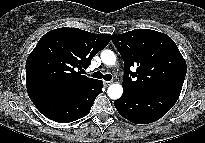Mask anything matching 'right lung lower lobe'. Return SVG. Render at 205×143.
Here are the masks:
<instances>
[{"label": "right lung lower lobe", "mask_w": 205, "mask_h": 143, "mask_svg": "<svg viewBox=\"0 0 205 143\" xmlns=\"http://www.w3.org/2000/svg\"><path fill=\"white\" fill-rule=\"evenodd\" d=\"M103 82L94 83L75 91H32L28 95L37 109L47 118L69 123L85 116L91 109L95 98L102 92Z\"/></svg>", "instance_id": "right-lung-lower-lobe-1"}]
</instances>
